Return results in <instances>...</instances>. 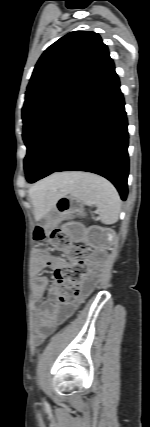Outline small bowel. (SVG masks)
<instances>
[{
  "mask_svg": "<svg viewBox=\"0 0 150 427\" xmlns=\"http://www.w3.org/2000/svg\"><path fill=\"white\" fill-rule=\"evenodd\" d=\"M63 264V260L59 257H52L45 253H40L34 259V271L40 273L44 268H59ZM49 280L45 276H38L36 279V298L40 299L44 295ZM88 288L83 291L87 292ZM73 305H68L57 313H52L48 305H44L38 310L37 320L38 326L36 329V343L40 344L48 337L55 329L56 325L62 322L71 313Z\"/></svg>",
  "mask_w": 150,
  "mask_h": 427,
  "instance_id": "small-bowel-1",
  "label": "small bowel"
}]
</instances>
